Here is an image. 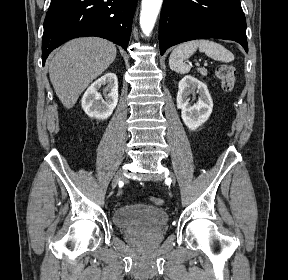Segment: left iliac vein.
I'll return each mask as SVG.
<instances>
[{"label":"left iliac vein","instance_id":"left-iliac-vein-1","mask_svg":"<svg viewBox=\"0 0 288 280\" xmlns=\"http://www.w3.org/2000/svg\"><path fill=\"white\" fill-rule=\"evenodd\" d=\"M170 179H171L172 182L174 183V177H173V176H170Z\"/></svg>","mask_w":288,"mask_h":280}]
</instances>
